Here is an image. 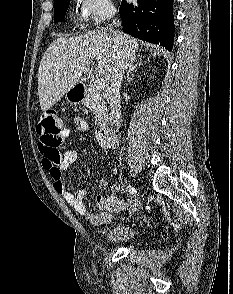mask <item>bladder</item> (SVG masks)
Listing matches in <instances>:
<instances>
[{
    "mask_svg": "<svg viewBox=\"0 0 233 294\" xmlns=\"http://www.w3.org/2000/svg\"><path fill=\"white\" fill-rule=\"evenodd\" d=\"M138 229L127 223H117L107 227L104 231V239L114 245H127L138 237Z\"/></svg>",
    "mask_w": 233,
    "mask_h": 294,
    "instance_id": "31cf9c89",
    "label": "bladder"
}]
</instances>
